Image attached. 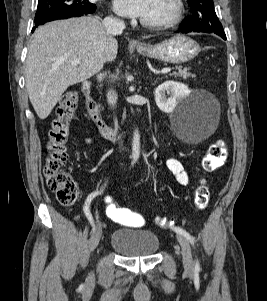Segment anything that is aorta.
<instances>
[{
    "label": "aorta",
    "mask_w": 267,
    "mask_h": 301,
    "mask_svg": "<svg viewBox=\"0 0 267 301\" xmlns=\"http://www.w3.org/2000/svg\"><path fill=\"white\" fill-rule=\"evenodd\" d=\"M140 156V134L138 130L133 133L132 140V158L137 160Z\"/></svg>",
    "instance_id": "762f6f07"
}]
</instances>
